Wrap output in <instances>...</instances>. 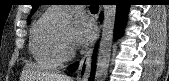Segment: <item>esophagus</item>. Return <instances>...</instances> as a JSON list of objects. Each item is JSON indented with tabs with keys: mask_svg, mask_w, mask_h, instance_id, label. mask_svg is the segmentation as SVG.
Wrapping results in <instances>:
<instances>
[{
	"mask_svg": "<svg viewBox=\"0 0 169 81\" xmlns=\"http://www.w3.org/2000/svg\"><path fill=\"white\" fill-rule=\"evenodd\" d=\"M100 29H101V25H99L98 34H97L96 38L94 39L90 48L84 53V55L80 61L79 69H78V73H77V77H76L77 81H87L88 78L90 77L93 50H94V46L100 36Z\"/></svg>",
	"mask_w": 169,
	"mask_h": 81,
	"instance_id": "1",
	"label": "esophagus"
}]
</instances>
